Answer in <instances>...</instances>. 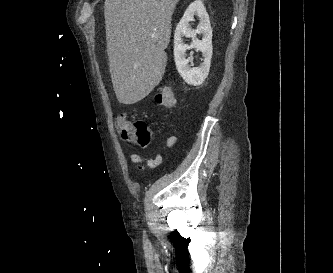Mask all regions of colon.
Returning a JSON list of instances; mask_svg holds the SVG:
<instances>
[{"label": "colon", "instance_id": "1", "mask_svg": "<svg viewBox=\"0 0 333 273\" xmlns=\"http://www.w3.org/2000/svg\"><path fill=\"white\" fill-rule=\"evenodd\" d=\"M155 100L165 108L173 107L175 96L171 85L161 86L156 93ZM115 127L119 136L131 145L145 147L151 142L152 132L143 120H132L126 113H121L116 118Z\"/></svg>", "mask_w": 333, "mask_h": 273}]
</instances>
